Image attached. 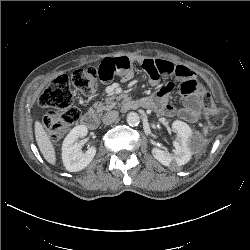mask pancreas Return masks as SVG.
<instances>
[{"mask_svg": "<svg viewBox=\"0 0 250 250\" xmlns=\"http://www.w3.org/2000/svg\"><path fill=\"white\" fill-rule=\"evenodd\" d=\"M117 105V102L113 100L112 97L107 98L105 103L98 102L93 105L94 110L101 115L103 111H108L113 109Z\"/></svg>", "mask_w": 250, "mask_h": 250, "instance_id": "pancreas-1", "label": "pancreas"}]
</instances>
